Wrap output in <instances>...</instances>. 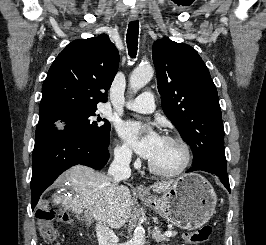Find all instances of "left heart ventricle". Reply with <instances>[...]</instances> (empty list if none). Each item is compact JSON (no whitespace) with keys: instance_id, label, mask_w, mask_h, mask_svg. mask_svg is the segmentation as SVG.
Instances as JSON below:
<instances>
[{"instance_id":"1","label":"left heart ventricle","mask_w":266,"mask_h":245,"mask_svg":"<svg viewBox=\"0 0 266 245\" xmlns=\"http://www.w3.org/2000/svg\"><path fill=\"white\" fill-rule=\"evenodd\" d=\"M183 159L181 145L163 138L157 153L150 162L159 171L174 172L181 167Z\"/></svg>"}]
</instances>
